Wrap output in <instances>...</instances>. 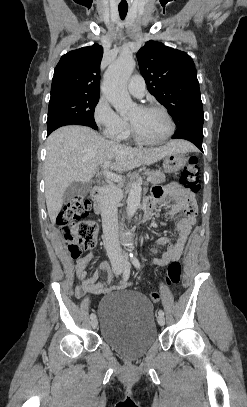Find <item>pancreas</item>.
Returning <instances> with one entry per match:
<instances>
[{"label": "pancreas", "instance_id": "cf45deb5", "mask_svg": "<svg viewBox=\"0 0 247 407\" xmlns=\"http://www.w3.org/2000/svg\"><path fill=\"white\" fill-rule=\"evenodd\" d=\"M146 174L148 175V177L151 178L150 182L152 184H158V183L165 182V174L163 172H161L160 170L147 171ZM99 197H100V195H99Z\"/></svg>", "mask_w": 247, "mask_h": 407}]
</instances>
